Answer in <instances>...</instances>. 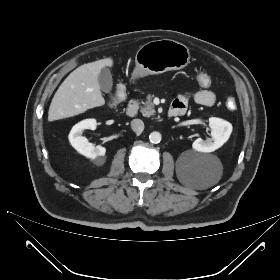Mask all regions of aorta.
<instances>
[{"label": "aorta", "instance_id": "obj_1", "mask_svg": "<svg viewBox=\"0 0 280 280\" xmlns=\"http://www.w3.org/2000/svg\"><path fill=\"white\" fill-rule=\"evenodd\" d=\"M162 137L161 134L157 131H153L149 135V140L151 143L157 144L161 141Z\"/></svg>", "mask_w": 280, "mask_h": 280}]
</instances>
